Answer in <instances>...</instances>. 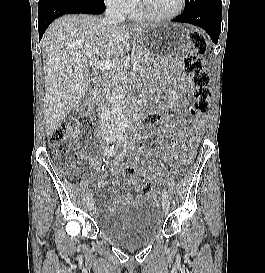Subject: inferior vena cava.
Here are the masks:
<instances>
[{
  "mask_svg": "<svg viewBox=\"0 0 265 273\" xmlns=\"http://www.w3.org/2000/svg\"><path fill=\"white\" fill-rule=\"evenodd\" d=\"M124 20L125 17L119 5L112 3L107 7L102 22L106 27L113 29ZM100 128L103 135H110L115 132L114 121L106 100H103L100 108Z\"/></svg>",
  "mask_w": 265,
  "mask_h": 273,
  "instance_id": "1",
  "label": "inferior vena cava"
}]
</instances>
